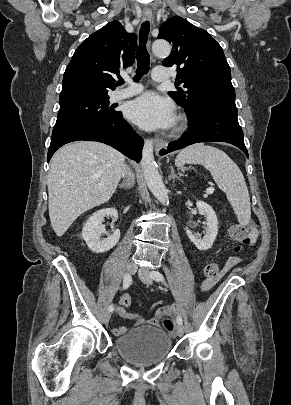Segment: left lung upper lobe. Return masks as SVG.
Instances as JSON below:
<instances>
[{
  "instance_id": "obj_1",
  "label": "left lung upper lobe",
  "mask_w": 291,
  "mask_h": 405,
  "mask_svg": "<svg viewBox=\"0 0 291 405\" xmlns=\"http://www.w3.org/2000/svg\"><path fill=\"white\" fill-rule=\"evenodd\" d=\"M158 38L173 45L163 66L176 68V80L185 90L171 91L169 95L186 109L187 114H197L205 99L235 98L224 52L207 31L176 16L161 25Z\"/></svg>"
}]
</instances>
